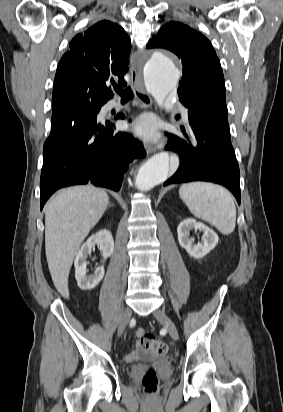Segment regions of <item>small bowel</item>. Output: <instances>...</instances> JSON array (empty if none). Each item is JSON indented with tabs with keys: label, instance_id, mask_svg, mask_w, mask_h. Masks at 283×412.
<instances>
[{
	"label": "small bowel",
	"instance_id": "small-bowel-1",
	"mask_svg": "<svg viewBox=\"0 0 283 412\" xmlns=\"http://www.w3.org/2000/svg\"><path fill=\"white\" fill-rule=\"evenodd\" d=\"M143 330L139 329L135 332L136 336L140 337L143 334ZM139 356L145 357V354L141 351V345L140 342L137 343L136 350L127 354L125 356V360L127 362H134L138 359Z\"/></svg>",
	"mask_w": 283,
	"mask_h": 412
}]
</instances>
